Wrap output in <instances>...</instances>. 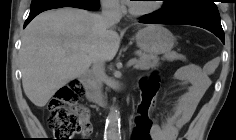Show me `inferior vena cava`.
Masks as SVG:
<instances>
[{"mask_svg": "<svg viewBox=\"0 0 236 140\" xmlns=\"http://www.w3.org/2000/svg\"><path fill=\"white\" fill-rule=\"evenodd\" d=\"M122 17L120 13L119 3L116 0H105L102 2L101 18L106 26L118 23ZM92 71L95 84L98 90L102 87V83L106 78L104 61H96L93 63Z\"/></svg>", "mask_w": 236, "mask_h": 140, "instance_id": "obj_1", "label": "inferior vena cava"}]
</instances>
